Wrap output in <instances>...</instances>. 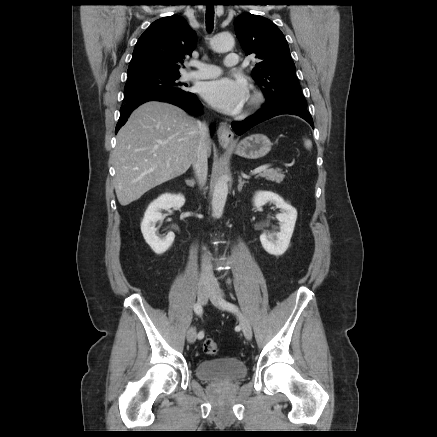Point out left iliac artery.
<instances>
[{"label":"left iliac artery","mask_w":437,"mask_h":437,"mask_svg":"<svg viewBox=\"0 0 437 437\" xmlns=\"http://www.w3.org/2000/svg\"><path fill=\"white\" fill-rule=\"evenodd\" d=\"M221 304H222V306H223L225 309H228V310H230V311L236 310L235 305H233V304H231V303H229V302H226V301H224V300H221Z\"/></svg>","instance_id":"44dca946"}]
</instances>
